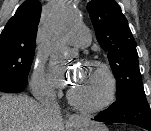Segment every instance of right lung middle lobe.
I'll use <instances>...</instances> for the list:
<instances>
[{"label":"right lung middle lobe","instance_id":"dd1d6c3e","mask_svg":"<svg viewBox=\"0 0 151 131\" xmlns=\"http://www.w3.org/2000/svg\"><path fill=\"white\" fill-rule=\"evenodd\" d=\"M35 47L17 42L0 44V91L22 92L34 58Z\"/></svg>","mask_w":151,"mask_h":131}]
</instances>
